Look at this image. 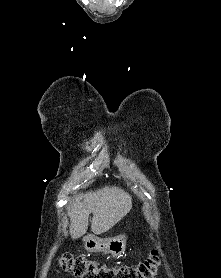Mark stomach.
Listing matches in <instances>:
<instances>
[{
  "label": "stomach",
  "mask_w": 221,
  "mask_h": 278,
  "mask_svg": "<svg viewBox=\"0 0 221 278\" xmlns=\"http://www.w3.org/2000/svg\"><path fill=\"white\" fill-rule=\"evenodd\" d=\"M84 248L88 252L105 253L114 257L120 256L126 249V237L118 235L111 238L100 239L98 237L89 235L84 237Z\"/></svg>",
  "instance_id": "obj_1"
}]
</instances>
